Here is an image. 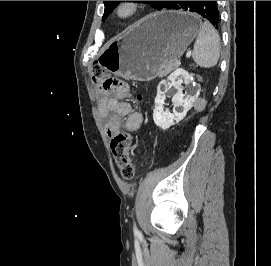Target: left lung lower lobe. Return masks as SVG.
Instances as JSON below:
<instances>
[{
    "instance_id": "obj_1",
    "label": "left lung lower lobe",
    "mask_w": 271,
    "mask_h": 266,
    "mask_svg": "<svg viewBox=\"0 0 271 266\" xmlns=\"http://www.w3.org/2000/svg\"><path fill=\"white\" fill-rule=\"evenodd\" d=\"M165 9H184L196 12L216 28L220 25L217 1H171Z\"/></svg>"
}]
</instances>
